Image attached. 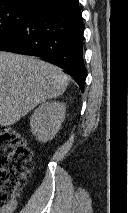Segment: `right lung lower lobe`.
<instances>
[{"label": "right lung lower lobe", "instance_id": "1", "mask_svg": "<svg viewBox=\"0 0 128 213\" xmlns=\"http://www.w3.org/2000/svg\"><path fill=\"white\" fill-rule=\"evenodd\" d=\"M0 51L55 62L84 90L83 22L78 0H40L22 24L0 41Z\"/></svg>", "mask_w": 128, "mask_h": 213}]
</instances>
